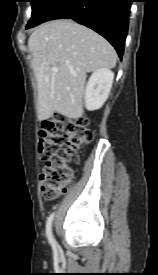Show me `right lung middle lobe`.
Segmentation results:
<instances>
[{"label": "right lung middle lobe", "instance_id": "dd1d6c3e", "mask_svg": "<svg viewBox=\"0 0 158 275\" xmlns=\"http://www.w3.org/2000/svg\"><path fill=\"white\" fill-rule=\"evenodd\" d=\"M55 1L56 0H30L32 4V17L29 20L26 29L34 26Z\"/></svg>", "mask_w": 158, "mask_h": 275}]
</instances>
